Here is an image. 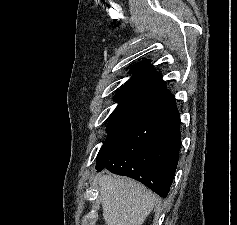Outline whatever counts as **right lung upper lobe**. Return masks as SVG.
<instances>
[{
	"label": "right lung upper lobe",
	"instance_id": "1",
	"mask_svg": "<svg viewBox=\"0 0 237 225\" xmlns=\"http://www.w3.org/2000/svg\"><path fill=\"white\" fill-rule=\"evenodd\" d=\"M134 75L114 97L118 102L111 120L126 123L145 111L174 98L167 90L160 74L155 72L149 61L132 66Z\"/></svg>",
	"mask_w": 237,
	"mask_h": 225
}]
</instances>
